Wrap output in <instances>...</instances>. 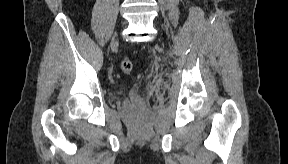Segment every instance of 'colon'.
Listing matches in <instances>:
<instances>
[{
  "label": "colon",
  "mask_w": 288,
  "mask_h": 164,
  "mask_svg": "<svg viewBox=\"0 0 288 164\" xmlns=\"http://www.w3.org/2000/svg\"><path fill=\"white\" fill-rule=\"evenodd\" d=\"M120 66L122 71L125 73H130L133 69V63L130 59H123Z\"/></svg>",
  "instance_id": "colon-1"
}]
</instances>
